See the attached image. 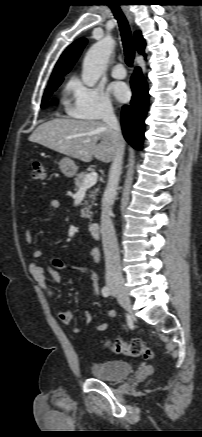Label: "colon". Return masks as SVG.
Here are the masks:
<instances>
[{
    "mask_svg": "<svg viewBox=\"0 0 202 437\" xmlns=\"http://www.w3.org/2000/svg\"><path fill=\"white\" fill-rule=\"evenodd\" d=\"M45 175L46 172L44 165L39 161H35L31 168L32 178L43 180ZM105 345L116 354H123L130 357H142L145 360H149L153 355L151 348L145 345V343L138 338H134L130 341L118 339L115 341L106 342Z\"/></svg>",
    "mask_w": 202,
    "mask_h": 437,
    "instance_id": "1",
    "label": "colon"
}]
</instances>
